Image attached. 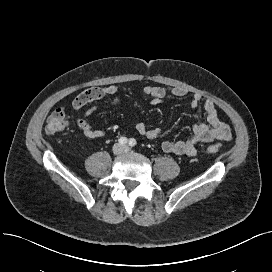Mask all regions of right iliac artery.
Masks as SVG:
<instances>
[{"instance_id":"82829eb1","label":"right iliac artery","mask_w":272,"mask_h":272,"mask_svg":"<svg viewBox=\"0 0 272 272\" xmlns=\"http://www.w3.org/2000/svg\"><path fill=\"white\" fill-rule=\"evenodd\" d=\"M118 142H119V144H121V145H125V144L128 142V140H127L126 137H121V138L118 140Z\"/></svg>"}]
</instances>
